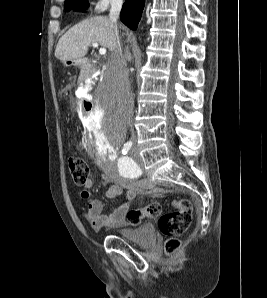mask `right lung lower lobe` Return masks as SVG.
Instances as JSON below:
<instances>
[{
    "label": "right lung lower lobe",
    "mask_w": 267,
    "mask_h": 298,
    "mask_svg": "<svg viewBox=\"0 0 267 298\" xmlns=\"http://www.w3.org/2000/svg\"><path fill=\"white\" fill-rule=\"evenodd\" d=\"M145 0H126L120 14L121 21L136 30L144 8Z\"/></svg>",
    "instance_id": "obj_1"
}]
</instances>
